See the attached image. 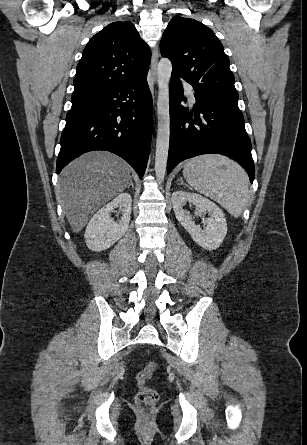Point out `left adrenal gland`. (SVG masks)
<instances>
[{"label":"left adrenal gland","mask_w":307,"mask_h":445,"mask_svg":"<svg viewBox=\"0 0 307 445\" xmlns=\"http://www.w3.org/2000/svg\"><path fill=\"white\" fill-rule=\"evenodd\" d=\"M179 180H181L180 184H185V182H183L182 178H179ZM187 186V184H186Z\"/></svg>","instance_id":"obj_1"}]
</instances>
